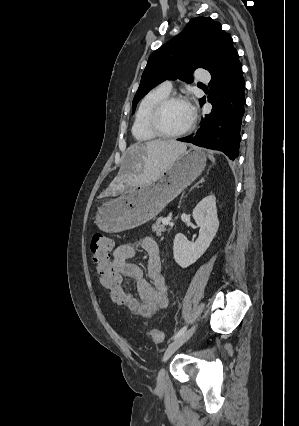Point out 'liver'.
I'll return each mask as SVG.
<instances>
[{"label": "liver", "instance_id": "6515ba94", "mask_svg": "<svg viewBox=\"0 0 299 426\" xmlns=\"http://www.w3.org/2000/svg\"><path fill=\"white\" fill-rule=\"evenodd\" d=\"M186 149L185 143L175 140L137 143L128 148L123 169L129 167L134 172V184H145L159 178Z\"/></svg>", "mask_w": 299, "mask_h": 426}]
</instances>
